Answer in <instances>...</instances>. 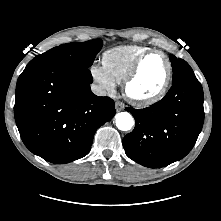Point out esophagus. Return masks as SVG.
I'll list each match as a JSON object with an SVG mask.
<instances>
[{
	"mask_svg": "<svg viewBox=\"0 0 221 221\" xmlns=\"http://www.w3.org/2000/svg\"><path fill=\"white\" fill-rule=\"evenodd\" d=\"M115 109H116L117 112H120V111L124 110L125 109L124 103H122L120 101H116L115 102Z\"/></svg>",
	"mask_w": 221,
	"mask_h": 221,
	"instance_id": "obj_1",
	"label": "esophagus"
}]
</instances>
